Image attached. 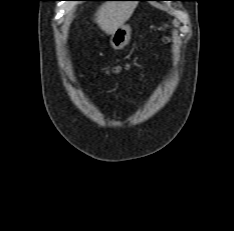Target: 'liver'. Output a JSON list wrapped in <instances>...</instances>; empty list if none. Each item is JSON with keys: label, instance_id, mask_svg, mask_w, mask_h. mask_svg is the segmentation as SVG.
I'll use <instances>...</instances> for the list:
<instances>
[{"label": "liver", "instance_id": "6515ba94", "mask_svg": "<svg viewBox=\"0 0 234 231\" xmlns=\"http://www.w3.org/2000/svg\"><path fill=\"white\" fill-rule=\"evenodd\" d=\"M136 3L129 1H109L103 3L95 14L94 21L108 35L124 25L133 13Z\"/></svg>", "mask_w": 234, "mask_h": 231}]
</instances>
